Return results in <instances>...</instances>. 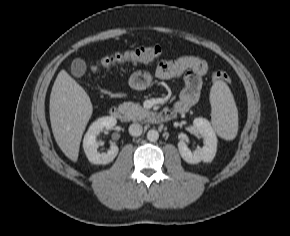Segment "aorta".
Masks as SVG:
<instances>
[{
    "instance_id": "762f6f07",
    "label": "aorta",
    "mask_w": 290,
    "mask_h": 236,
    "mask_svg": "<svg viewBox=\"0 0 290 236\" xmlns=\"http://www.w3.org/2000/svg\"><path fill=\"white\" fill-rule=\"evenodd\" d=\"M159 138V133L157 130H154V129H151L148 131L147 133V139L150 141V142H155L157 141Z\"/></svg>"
}]
</instances>
